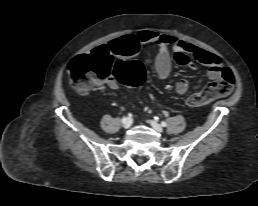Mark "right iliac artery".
Returning a JSON list of instances; mask_svg holds the SVG:
<instances>
[{"label":"right iliac artery","instance_id":"obj_1","mask_svg":"<svg viewBox=\"0 0 258 206\" xmlns=\"http://www.w3.org/2000/svg\"><path fill=\"white\" fill-rule=\"evenodd\" d=\"M126 119H127L126 117H123L122 118V122L124 123Z\"/></svg>","mask_w":258,"mask_h":206}]
</instances>
